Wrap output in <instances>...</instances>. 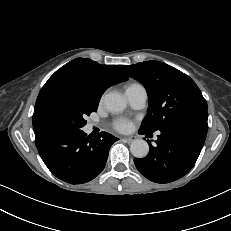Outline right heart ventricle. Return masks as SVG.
Here are the masks:
<instances>
[{
	"label": "right heart ventricle",
	"mask_w": 231,
	"mask_h": 231,
	"mask_svg": "<svg viewBox=\"0 0 231 231\" xmlns=\"http://www.w3.org/2000/svg\"><path fill=\"white\" fill-rule=\"evenodd\" d=\"M137 87H141V85H140V84H137V83L130 84V85L127 87L126 91H129V90L134 89V88H137Z\"/></svg>",
	"instance_id": "obj_1"
}]
</instances>
